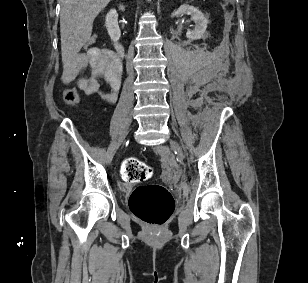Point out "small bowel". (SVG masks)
<instances>
[{"label":"small bowel","mask_w":308,"mask_h":283,"mask_svg":"<svg viewBox=\"0 0 308 283\" xmlns=\"http://www.w3.org/2000/svg\"><path fill=\"white\" fill-rule=\"evenodd\" d=\"M86 67L90 69L89 74L81 77L80 73ZM66 75L86 95H98L108 103L117 100L121 85V66L114 53L108 49L92 48L77 54L67 65ZM101 81L108 85L107 91L101 89Z\"/></svg>","instance_id":"obj_1"}]
</instances>
